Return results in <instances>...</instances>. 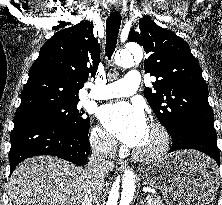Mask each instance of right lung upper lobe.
<instances>
[{"instance_id": "right-lung-upper-lobe-1", "label": "right lung upper lobe", "mask_w": 222, "mask_h": 205, "mask_svg": "<svg viewBox=\"0 0 222 205\" xmlns=\"http://www.w3.org/2000/svg\"><path fill=\"white\" fill-rule=\"evenodd\" d=\"M100 48L88 20L54 34L29 71L16 112L49 102L79 101L78 92L98 68Z\"/></svg>"}]
</instances>
